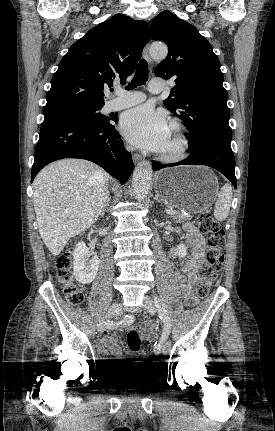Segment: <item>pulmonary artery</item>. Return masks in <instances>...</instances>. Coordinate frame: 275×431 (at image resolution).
Listing matches in <instances>:
<instances>
[{"label":"pulmonary artery","instance_id":"e3ab8cb5","mask_svg":"<svg viewBox=\"0 0 275 431\" xmlns=\"http://www.w3.org/2000/svg\"><path fill=\"white\" fill-rule=\"evenodd\" d=\"M149 91L153 94L160 93L163 90V83L158 79H153L149 84ZM117 97L107 103V110L115 111L134 106L145 100V95L141 92H127L117 89Z\"/></svg>","mask_w":275,"mask_h":431}]
</instances>
